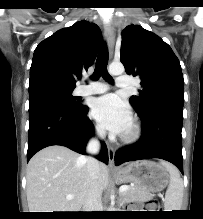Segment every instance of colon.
Masks as SVG:
<instances>
[{
    "mask_svg": "<svg viewBox=\"0 0 203 219\" xmlns=\"http://www.w3.org/2000/svg\"><path fill=\"white\" fill-rule=\"evenodd\" d=\"M149 206L152 209L159 210L160 209V202L158 200L154 199V200L149 202Z\"/></svg>",
    "mask_w": 203,
    "mask_h": 219,
    "instance_id": "1",
    "label": "colon"
}]
</instances>
